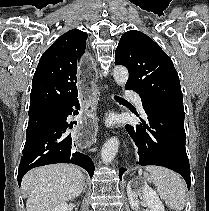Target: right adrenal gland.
I'll return each mask as SVG.
<instances>
[{"instance_id":"obj_1","label":"right adrenal gland","mask_w":209,"mask_h":211,"mask_svg":"<svg viewBox=\"0 0 209 211\" xmlns=\"http://www.w3.org/2000/svg\"><path fill=\"white\" fill-rule=\"evenodd\" d=\"M84 188H83V192H85L86 188H87V184L86 182L84 181V184H83Z\"/></svg>"}]
</instances>
